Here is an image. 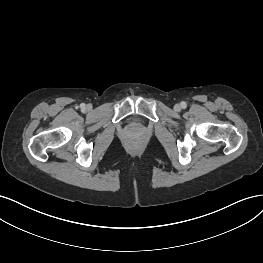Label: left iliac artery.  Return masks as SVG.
Listing matches in <instances>:
<instances>
[{"instance_id":"44dca946","label":"left iliac artery","mask_w":263,"mask_h":263,"mask_svg":"<svg viewBox=\"0 0 263 263\" xmlns=\"http://www.w3.org/2000/svg\"><path fill=\"white\" fill-rule=\"evenodd\" d=\"M187 104L185 102H181V107L186 108Z\"/></svg>"}]
</instances>
